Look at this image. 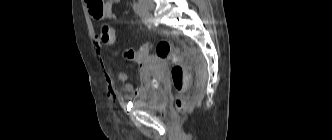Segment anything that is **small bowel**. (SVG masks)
Listing matches in <instances>:
<instances>
[{"instance_id":"1","label":"small bowel","mask_w":332,"mask_h":140,"mask_svg":"<svg viewBox=\"0 0 332 140\" xmlns=\"http://www.w3.org/2000/svg\"><path fill=\"white\" fill-rule=\"evenodd\" d=\"M121 0H108L105 11L102 15V19H112L114 17L113 6L119 3ZM117 37H105L103 35H99L98 38L94 41V50L100 55L101 54V44H112L115 42ZM143 59L138 61L142 63ZM100 65L104 72V78L107 84L108 91L111 94H117L118 88L116 85V81L111 76L109 70L106 67L104 60L100 57ZM116 80L122 84L123 89L125 91L124 98L127 100H131L133 97H144L150 90L151 87V79L147 69L141 65L140 68V85L135 86L134 84L128 81V76L125 72H119L116 76Z\"/></svg>"}]
</instances>
